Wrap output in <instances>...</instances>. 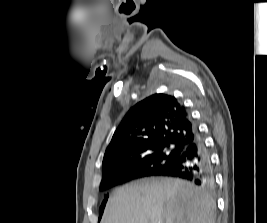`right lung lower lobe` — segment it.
I'll return each mask as SVG.
<instances>
[{
	"mask_svg": "<svg viewBox=\"0 0 267 223\" xmlns=\"http://www.w3.org/2000/svg\"><path fill=\"white\" fill-rule=\"evenodd\" d=\"M196 132V139L180 152L177 160L169 168L152 175L137 171L119 174L108 178L104 182L102 189L105 190L130 180L147 176L176 177L191 181L204 188H211L213 186V175L210 157L197 129Z\"/></svg>",
	"mask_w": 267,
	"mask_h": 223,
	"instance_id": "obj_1",
	"label": "right lung lower lobe"
}]
</instances>
